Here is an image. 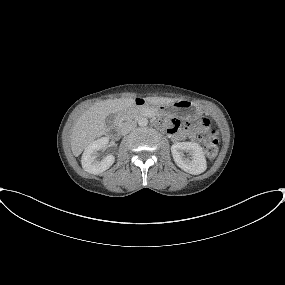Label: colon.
I'll return each instance as SVG.
<instances>
[{
	"mask_svg": "<svg viewBox=\"0 0 285 285\" xmlns=\"http://www.w3.org/2000/svg\"><path fill=\"white\" fill-rule=\"evenodd\" d=\"M204 127L205 124L202 123L186 125L189 135L192 138L203 142L208 158L212 159L218 152L219 141L215 135V132H205Z\"/></svg>",
	"mask_w": 285,
	"mask_h": 285,
	"instance_id": "colon-1",
	"label": "colon"
}]
</instances>
